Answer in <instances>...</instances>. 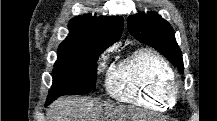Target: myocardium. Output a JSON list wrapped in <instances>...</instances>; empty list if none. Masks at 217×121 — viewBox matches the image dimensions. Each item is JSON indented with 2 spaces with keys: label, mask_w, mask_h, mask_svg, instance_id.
<instances>
[{
  "label": "myocardium",
  "mask_w": 217,
  "mask_h": 121,
  "mask_svg": "<svg viewBox=\"0 0 217 121\" xmlns=\"http://www.w3.org/2000/svg\"><path fill=\"white\" fill-rule=\"evenodd\" d=\"M168 92L170 96L173 97L177 92V86L174 83H170L168 86Z\"/></svg>",
  "instance_id": "myocardium-1"
}]
</instances>
